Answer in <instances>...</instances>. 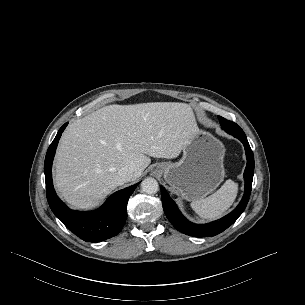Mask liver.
I'll list each match as a JSON object with an SVG mask.
<instances>
[{
  "mask_svg": "<svg viewBox=\"0 0 305 305\" xmlns=\"http://www.w3.org/2000/svg\"><path fill=\"white\" fill-rule=\"evenodd\" d=\"M189 104L151 102L108 105L71 123L55 156V186L72 207L90 209L125 182L136 181L150 157L176 158L198 132ZM128 182V181H127Z\"/></svg>",
  "mask_w": 305,
  "mask_h": 305,
  "instance_id": "6515ba94",
  "label": "liver"
}]
</instances>
